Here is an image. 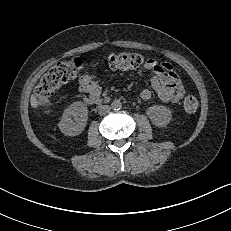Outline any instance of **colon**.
I'll list each match as a JSON object with an SVG mask.
<instances>
[{"instance_id": "obj_1", "label": "colon", "mask_w": 231, "mask_h": 231, "mask_svg": "<svg viewBox=\"0 0 231 231\" xmlns=\"http://www.w3.org/2000/svg\"><path fill=\"white\" fill-rule=\"evenodd\" d=\"M143 58L139 54L130 52L113 53L105 58L94 61L96 68L128 71L139 68ZM85 63L80 58L59 62L52 66L41 78L35 89L39 104L49 109L57 90L64 84L74 80L81 73ZM184 110L194 113L198 108V100L194 96H187L183 101Z\"/></svg>"}]
</instances>
